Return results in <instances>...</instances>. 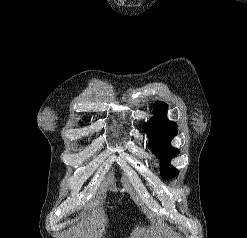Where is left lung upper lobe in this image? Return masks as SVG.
I'll use <instances>...</instances> for the list:
<instances>
[{"instance_id": "obj_1", "label": "left lung upper lobe", "mask_w": 247, "mask_h": 238, "mask_svg": "<svg viewBox=\"0 0 247 238\" xmlns=\"http://www.w3.org/2000/svg\"><path fill=\"white\" fill-rule=\"evenodd\" d=\"M155 113V117L145 123L144 130L150 138V150L162 159V178L169 179L178 175V171L170 165V160L179 153V150L170 144L177 134V125L166 117L167 105L165 103L156 102Z\"/></svg>"}]
</instances>
